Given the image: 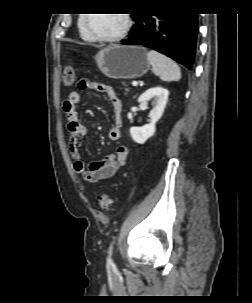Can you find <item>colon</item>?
<instances>
[{
	"mask_svg": "<svg viewBox=\"0 0 252 303\" xmlns=\"http://www.w3.org/2000/svg\"><path fill=\"white\" fill-rule=\"evenodd\" d=\"M63 84L69 88L75 84V72L72 65H67L62 75ZM98 204L102 211L110 212L113 209V199L107 194L98 196Z\"/></svg>",
	"mask_w": 252,
	"mask_h": 303,
	"instance_id": "obj_1",
	"label": "colon"
}]
</instances>
